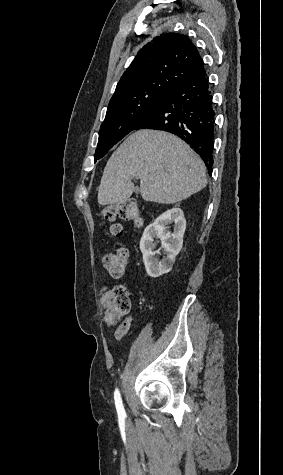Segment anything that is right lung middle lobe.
I'll return each instance as SVG.
<instances>
[{
	"label": "right lung middle lobe",
	"instance_id": "obj_1",
	"mask_svg": "<svg viewBox=\"0 0 283 475\" xmlns=\"http://www.w3.org/2000/svg\"><path fill=\"white\" fill-rule=\"evenodd\" d=\"M169 92L164 90L153 91L109 104L99 132L95 162L131 132L150 111L164 100Z\"/></svg>",
	"mask_w": 283,
	"mask_h": 475
}]
</instances>
